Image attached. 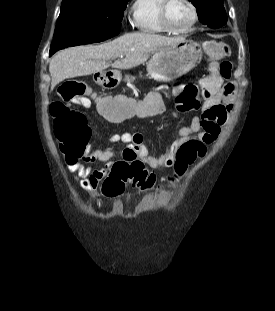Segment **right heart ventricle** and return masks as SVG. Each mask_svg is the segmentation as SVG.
Instances as JSON below:
<instances>
[{"mask_svg": "<svg viewBox=\"0 0 275 311\" xmlns=\"http://www.w3.org/2000/svg\"><path fill=\"white\" fill-rule=\"evenodd\" d=\"M162 0H134L131 14L135 27L147 34H166L168 31L160 21L159 10Z\"/></svg>", "mask_w": 275, "mask_h": 311, "instance_id": "right-heart-ventricle-1", "label": "right heart ventricle"}]
</instances>
